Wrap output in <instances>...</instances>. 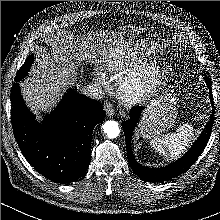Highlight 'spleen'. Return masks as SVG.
<instances>
[{"instance_id": "obj_1", "label": "spleen", "mask_w": 220, "mask_h": 220, "mask_svg": "<svg viewBox=\"0 0 220 220\" xmlns=\"http://www.w3.org/2000/svg\"><path fill=\"white\" fill-rule=\"evenodd\" d=\"M194 135L192 125L183 124L175 133L162 135L150 141V146L167 160L178 158L190 145Z\"/></svg>"}]
</instances>
